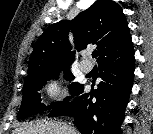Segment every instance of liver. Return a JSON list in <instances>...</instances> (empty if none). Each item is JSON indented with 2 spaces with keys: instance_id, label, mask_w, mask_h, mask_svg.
<instances>
[{
  "instance_id": "6515ba94",
  "label": "liver",
  "mask_w": 153,
  "mask_h": 134,
  "mask_svg": "<svg viewBox=\"0 0 153 134\" xmlns=\"http://www.w3.org/2000/svg\"><path fill=\"white\" fill-rule=\"evenodd\" d=\"M13 134H77V131L67 124L51 120L26 124L15 129Z\"/></svg>"
}]
</instances>
